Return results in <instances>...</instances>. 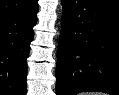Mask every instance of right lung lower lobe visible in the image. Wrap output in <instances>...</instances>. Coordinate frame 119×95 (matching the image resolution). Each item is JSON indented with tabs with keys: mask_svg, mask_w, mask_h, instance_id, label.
<instances>
[{
	"mask_svg": "<svg viewBox=\"0 0 119 95\" xmlns=\"http://www.w3.org/2000/svg\"><path fill=\"white\" fill-rule=\"evenodd\" d=\"M38 0L0 21V95H25L27 58L37 22Z\"/></svg>",
	"mask_w": 119,
	"mask_h": 95,
	"instance_id": "right-lung-lower-lobe-1",
	"label": "right lung lower lobe"
}]
</instances>
